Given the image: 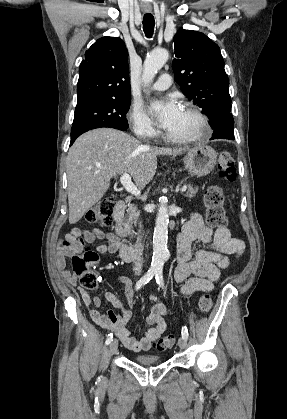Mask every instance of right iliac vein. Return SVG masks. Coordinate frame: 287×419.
Masks as SVG:
<instances>
[{"label":"right iliac vein","mask_w":287,"mask_h":419,"mask_svg":"<svg viewBox=\"0 0 287 419\" xmlns=\"http://www.w3.org/2000/svg\"><path fill=\"white\" fill-rule=\"evenodd\" d=\"M118 349V340L114 339L111 341L110 345H109V354L113 355L117 352Z\"/></svg>","instance_id":"63e3f726"}]
</instances>
